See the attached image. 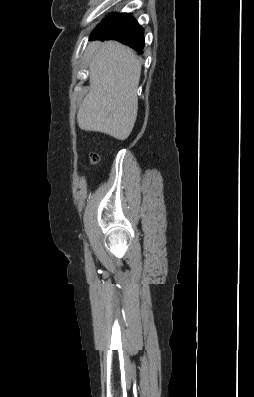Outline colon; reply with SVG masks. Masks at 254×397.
Returning a JSON list of instances; mask_svg holds the SVG:
<instances>
[{"mask_svg":"<svg viewBox=\"0 0 254 397\" xmlns=\"http://www.w3.org/2000/svg\"><path fill=\"white\" fill-rule=\"evenodd\" d=\"M98 159H99V157L97 154H95V153L91 154V157H90L91 163H96L98 161Z\"/></svg>","mask_w":254,"mask_h":397,"instance_id":"obj_1","label":"colon"}]
</instances>
